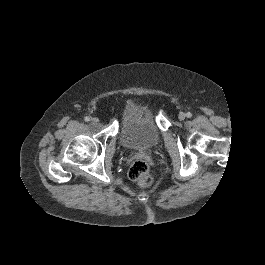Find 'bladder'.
Returning <instances> with one entry per match:
<instances>
[{"instance_id":"31cf9c89","label":"bladder","mask_w":265,"mask_h":265,"mask_svg":"<svg viewBox=\"0 0 265 265\" xmlns=\"http://www.w3.org/2000/svg\"><path fill=\"white\" fill-rule=\"evenodd\" d=\"M135 108L124 120L121 130V142L128 149L147 150L158 145L160 141L159 129L148 119V114ZM146 116V117H145Z\"/></svg>"}]
</instances>
